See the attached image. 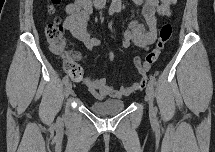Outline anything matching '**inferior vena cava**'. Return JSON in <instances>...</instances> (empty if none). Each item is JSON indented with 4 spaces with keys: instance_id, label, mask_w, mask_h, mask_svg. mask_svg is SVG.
I'll use <instances>...</instances> for the list:
<instances>
[{
    "instance_id": "1",
    "label": "inferior vena cava",
    "mask_w": 215,
    "mask_h": 152,
    "mask_svg": "<svg viewBox=\"0 0 215 152\" xmlns=\"http://www.w3.org/2000/svg\"><path fill=\"white\" fill-rule=\"evenodd\" d=\"M97 1H98V3L101 4L102 6H104V5H105V2H106L105 0H97Z\"/></svg>"
}]
</instances>
